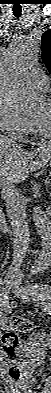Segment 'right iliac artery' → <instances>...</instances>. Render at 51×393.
I'll return each mask as SVG.
<instances>
[{
	"instance_id": "right-iliac-artery-1",
	"label": "right iliac artery",
	"mask_w": 51,
	"mask_h": 393,
	"mask_svg": "<svg viewBox=\"0 0 51 393\" xmlns=\"http://www.w3.org/2000/svg\"><path fill=\"white\" fill-rule=\"evenodd\" d=\"M0 301H1L0 306H3V307H4V309H2V310H6V308L9 307V306H8L9 301H8L7 295H2V294H1Z\"/></svg>"
}]
</instances>
